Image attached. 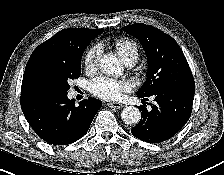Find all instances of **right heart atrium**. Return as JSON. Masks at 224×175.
<instances>
[{
	"mask_svg": "<svg viewBox=\"0 0 224 175\" xmlns=\"http://www.w3.org/2000/svg\"><path fill=\"white\" fill-rule=\"evenodd\" d=\"M101 55V47L93 45L90 47L84 56V67L86 71L93 72L96 70Z\"/></svg>",
	"mask_w": 224,
	"mask_h": 175,
	"instance_id": "obj_1",
	"label": "right heart atrium"
}]
</instances>
